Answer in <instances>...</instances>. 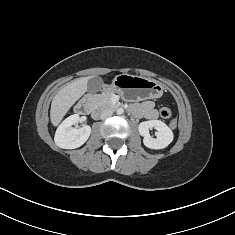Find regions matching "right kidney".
Returning <instances> with one entry per match:
<instances>
[{
    "instance_id": "right-kidney-1",
    "label": "right kidney",
    "mask_w": 235,
    "mask_h": 235,
    "mask_svg": "<svg viewBox=\"0 0 235 235\" xmlns=\"http://www.w3.org/2000/svg\"><path fill=\"white\" fill-rule=\"evenodd\" d=\"M80 120L78 114H74L66 118L58 127L55 133V143L63 149H75L82 146L91 134L90 126L81 128L72 127Z\"/></svg>"
}]
</instances>
